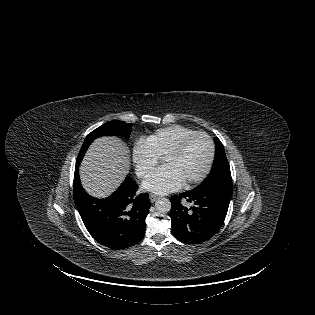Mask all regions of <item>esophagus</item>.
<instances>
[{
  "label": "esophagus",
  "mask_w": 315,
  "mask_h": 315,
  "mask_svg": "<svg viewBox=\"0 0 315 315\" xmlns=\"http://www.w3.org/2000/svg\"><path fill=\"white\" fill-rule=\"evenodd\" d=\"M150 201L153 203L158 199V196L154 195V194H150Z\"/></svg>",
  "instance_id": "esophagus-1"
}]
</instances>
